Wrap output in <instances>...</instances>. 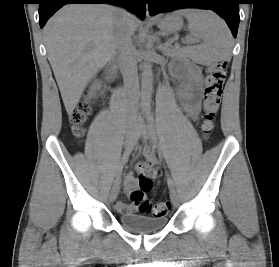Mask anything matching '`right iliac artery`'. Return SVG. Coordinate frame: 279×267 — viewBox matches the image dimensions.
<instances>
[{
	"label": "right iliac artery",
	"instance_id": "obj_1",
	"mask_svg": "<svg viewBox=\"0 0 279 267\" xmlns=\"http://www.w3.org/2000/svg\"><path fill=\"white\" fill-rule=\"evenodd\" d=\"M137 139H138V136L135 135L133 137V139L129 143L126 144L125 151L122 155V158L120 160V163H119L116 173H115V182L119 181V179L121 177L123 166L127 163L129 156H130L135 144L137 143Z\"/></svg>",
	"mask_w": 279,
	"mask_h": 267
}]
</instances>
